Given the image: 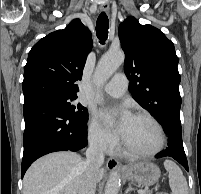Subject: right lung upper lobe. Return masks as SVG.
<instances>
[{
	"instance_id": "right-lung-upper-lobe-1",
	"label": "right lung upper lobe",
	"mask_w": 201,
	"mask_h": 194,
	"mask_svg": "<svg viewBox=\"0 0 201 194\" xmlns=\"http://www.w3.org/2000/svg\"><path fill=\"white\" fill-rule=\"evenodd\" d=\"M91 49V33L79 19L40 39L24 68V101L45 95L77 97L75 82L81 80Z\"/></svg>"
}]
</instances>
